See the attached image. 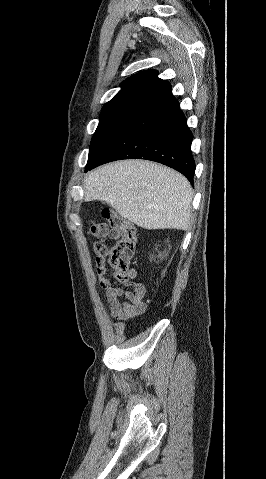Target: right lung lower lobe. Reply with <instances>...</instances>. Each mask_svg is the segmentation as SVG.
<instances>
[{"instance_id":"obj_1","label":"right lung lower lobe","mask_w":266,"mask_h":479,"mask_svg":"<svg viewBox=\"0 0 266 479\" xmlns=\"http://www.w3.org/2000/svg\"><path fill=\"white\" fill-rule=\"evenodd\" d=\"M193 135L179 107L168 93L138 112L104 147L85 172L120 159H146L167 165L193 185Z\"/></svg>"}]
</instances>
